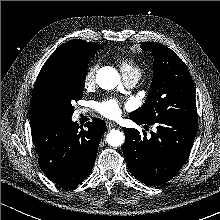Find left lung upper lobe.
Listing matches in <instances>:
<instances>
[{"label":"left lung upper lobe","mask_w":220,"mask_h":220,"mask_svg":"<svg viewBox=\"0 0 220 220\" xmlns=\"http://www.w3.org/2000/svg\"><path fill=\"white\" fill-rule=\"evenodd\" d=\"M141 49L153 53V80L145 104L130 116L147 124L170 115L197 119L194 86L186 64L161 43L142 42Z\"/></svg>","instance_id":"1"}]
</instances>
